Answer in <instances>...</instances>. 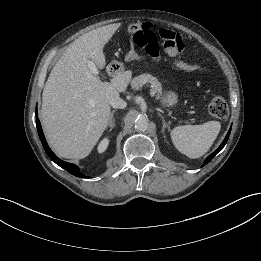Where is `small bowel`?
Instances as JSON below:
<instances>
[{"label": "small bowel", "mask_w": 261, "mask_h": 261, "mask_svg": "<svg viewBox=\"0 0 261 261\" xmlns=\"http://www.w3.org/2000/svg\"><path fill=\"white\" fill-rule=\"evenodd\" d=\"M150 28H151V26H150ZM166 31H169V30H166ZM127 59L130 61H141L143 58L133 48H130V50L127 53Z\"/></svg>", "instance_id": "small-bowel-1"}]
</instances>
